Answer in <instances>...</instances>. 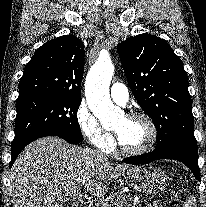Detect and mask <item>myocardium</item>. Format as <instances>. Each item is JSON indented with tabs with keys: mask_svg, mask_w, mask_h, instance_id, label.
Listing matches in <instances>:
<instances>
[{
	"mask_svg": "<svg viewBox=\"0 0 206 207\" xmlns=\"http://www.w3.org/2000/svg\"><path fill=\"white\" fill-rule=\"evenodd\" d=\"M125 117L128 120H135V119L143 120L149 128L150 135H149L148 142L143 147H140L137 149H128L124 147L116 135V143L120 151L126 156H140V155L147 154L154 148L157 142V139H158V128H157L155 121L152 119L151 116H149L148 114L144 112H140V111L131 112L127 114Z\"/></svg>",
	"mask_w": 206,
	"mask_h": 207,
	"instance_id": "obj_1",
	"label": "myocardium"
}]
</instances>
